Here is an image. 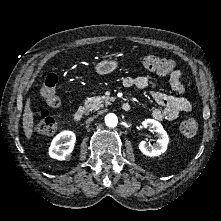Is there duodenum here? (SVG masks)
Listing matches in <instances>:
<instances>
[{"label": "duodenum", "instance_id": "1", "mask_svg": "<svg viewBox=\"0 0 221 221\" xmlns=\"http://www.w3.org/2000/svg\"><path fill=\"white\" fill-rule=\"evenodd\" d=\"M121 108L124 110V111H129L131 106L129 103L127 102H124L121 104ZM83 117H84V110L83 109H77L76 111L73 112L72 114V119L73 121L75 122H81L83 120Z\"/></svg>", "mask_w": 221, "mask_h": 221}]
</instances>
